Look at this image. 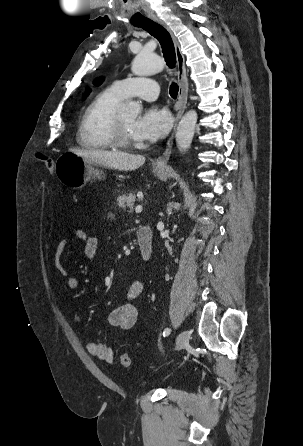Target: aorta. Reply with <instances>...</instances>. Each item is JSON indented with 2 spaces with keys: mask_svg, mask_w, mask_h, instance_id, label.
<instances>
[{
  "mask_svg": "<svg viewBox=\"0 0 303 446\" xmlns=\"http://www.w3.org/2000/svg\"><path fill=\"white\" fill-rule=\"evenodd\" d=\"M164 63L156 55L140 52L133 60L131 70L137 76H147L162 71ZM141 111V105L137 102L128 103L122 110L123 114L129 117H136ZM197 123V113L195 110L188 111L180 120L176 131V143L181 151H186L193 140Z\"/></svg>",
  "mask_w": 303,
  "mask_h": 446,
  "instance_id": "obj_1",
  "label": "aorta"
}]
</instances>
